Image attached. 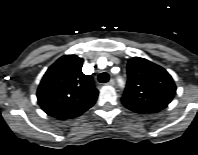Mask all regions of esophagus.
<instances>
[{
  "label": "esophagus",
  "instance_id": "esophagus-1",
  "mask_svg": "<svg viewBox=\"0 0 198 155\" xmlns=\"http://www.w3.org/2000/svg\"><path fill=\"white\" fill-rule=\"evenodd\" d=\"M107 84L113 86V85H115V81L113 79H111Z\"/></svg>",
  "mask_w": 198,
  "mask_h": 155
}]
</instances>
